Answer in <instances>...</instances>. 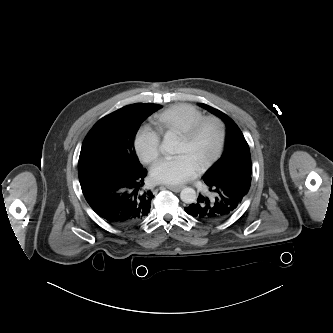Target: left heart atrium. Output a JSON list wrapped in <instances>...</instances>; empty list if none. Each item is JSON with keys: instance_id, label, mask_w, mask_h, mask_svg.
Returning a JSON list of instances; mask_svg holds the SVG:
<instances>
[{"instance_id": "1", "label": "left heart atrium", "mask_w": 333, "mask_h": 333, "mask_svg": "<svg viewBox=\"0 0 333 333\" xmlns=\"http://www.w3.org/2000/svg\"><path fill=\"white\" fill-rule=\"evenodd\" d=\"M198 167L186 154L160 160L151 170L152 179L159 184L178 185L192 179Z\"/></svg>"}]
</instances>
